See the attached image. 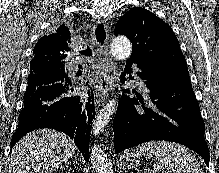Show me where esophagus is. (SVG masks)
Returning <instances> with one entry per match:
<instances>
[{
	"mask_svg": "<svg viewBox=\"0 0 219 173\" xmlns=\"http://www.w3.org/2000/svg\"><path fill=\"white\" fill-rule=\"evenodd\" d=\"M93 42L96 47L99 67L97 90L100 99L104 101L112 89L116 67L108 51V27L103 19H98L94 25Z\"/></svg>",
	"mask_w": 219,
	"mask_h": 173,
	"instance_id": "obj_1",
	"label": "esophagus"
}]
</instances>
